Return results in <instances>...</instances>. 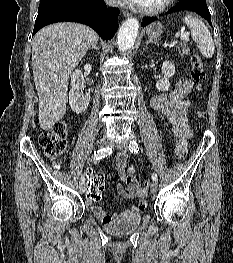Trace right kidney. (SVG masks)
<instances>
[{
    "instance_id": "obj_1",
    "label": "right kidney",
    "mask_w": 233,
    "mask_h": 263,
    "mask_svg": "<svg viewBox=\"0 0 233 263\" xmlns=\"http://www.w3.org/2000/svg\"><path fill=\"white\" fill-rule=\"evenodd\" d=\"M85 71H91L92 65H84ZM84 77L80 69H76L71 76V90L69 92V104L76 114L84 112L90 102V95L83 93Z\"/></svg>"
}]
</instances>
